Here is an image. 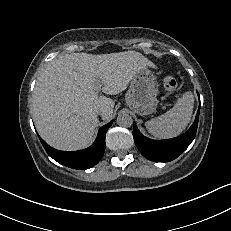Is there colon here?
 Listing matches in <instances>:
<instances>
[{
	"label": "colon",
	"instance_id": "5ec220e1",
	"mask_svg": "<svg viewBox=\"0 0 231 231\" xmlns=\"http://www.w3.org/2000/svg\"><path fill=\"white\" fill-rule=\"evenodd\" d=\"M163 86L167 91H175L177 89V81L174 77L168 76L164 79Z\"/></svg>",
	"mask_w": 231,
	"mask_h": 231
}]
</instances>
